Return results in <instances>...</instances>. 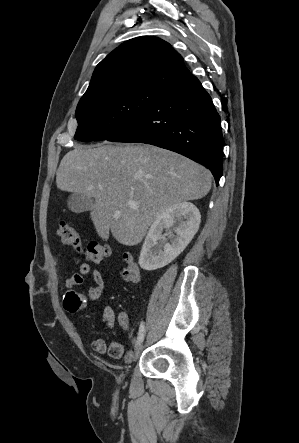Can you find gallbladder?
<instances>
[{
  "label": "gallbladder",
  "mask_w": 299,
  "mask_h": 443,
  "mask_svg": "<svg viewBox=\"0 0 299 443\" xmlns=\"http://www.w3.org/2000/svg\"><path fill=\"white\" fill-rule=\"evenodd\" d=\"M94 201L82 193H72L67 201L68 208L74 213H83L92 209Z\"/></svg>",
  "instance_id": "1"
}]
</instances>
